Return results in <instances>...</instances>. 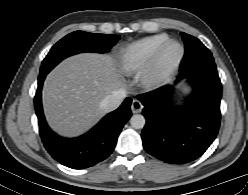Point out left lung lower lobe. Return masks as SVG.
Listing matches in <instances>:
<instances>
[{
    "label": "left lung lower lobe",
    "instance_id": "left-lung-lower-lobe-1",
    "mask_svg": "<svg viewBox=\"0 0 248 195\" xmlns=\"http://www.w3.org/2000/svg\"><path fill=\"white\" fill-rule=\"evenodd\" d=\"M184 78L179 75L177 81ZM193 93L187 110L179 112L169 103L171 85L141 94L146 125L142 131L144 149L171 164H185L200 157L217 136L221 113V82L217 72L188 76Z\"/></svg>",
    "mask_w": 248,
    "mask_h": 195
}]
</instances>
